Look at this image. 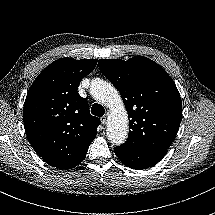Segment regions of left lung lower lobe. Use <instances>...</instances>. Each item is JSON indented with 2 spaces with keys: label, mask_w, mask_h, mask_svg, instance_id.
Masks as SVG:
<instances>
[{
  "label": "left lung lower lobe",
  "mask_w": 215,
  "mask_h": 215,
  "mask_svg": "<svg viewBox=\"0 0 215 215\" xmlns=\"http://www.w3.org/2000/svg\"><path fill=\"white\" fill-rule=\"evenodd\" d=\"M117 157L128 167L136 170L149 168L158 163L167 151L141 152L118 146L114 148Z\"/></svg>",
  "instance_id": "0a47b994"
}]
</instances>
